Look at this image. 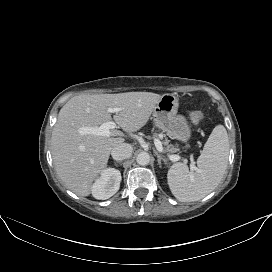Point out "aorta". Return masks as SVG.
Here are the masks:
<instances>
[{
    "label": "aorta",
    "instance_id": "obj_1",
    "mask_svg": "<svg viewBox=\"0 0 272 272\" xmlns=\"http://www.w3.org/2000/svg\"><path fill=\"white\" fill-rule=\"evenodd\" d=\"M136 161L139 165H147L150 162V155L147 152H141L137 155Z\"/></svg>",
    "mask_w": 272,
    "mask_h": 272
}]
</instances>
